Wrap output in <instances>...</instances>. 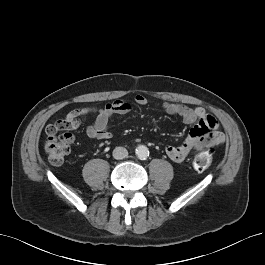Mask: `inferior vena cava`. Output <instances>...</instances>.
Returning <instances> with one entry per match:
<instances>
[{"instance_id":"inferior-vena-cava-1","label":"inferior vena cava","mask_w":265,"mask_h":265,"mask_svg":"<svg viewBox=\"0 0 265 265\" xmlns=\"http://www.w3.org/2000/svg\"><path fill=\"white\" fill-rule=\"evenodd\" d=\"M128 156V151L124 147H116L113 150V157L117 160L124 159Z\"/></svg>"}]
</instances>
